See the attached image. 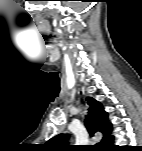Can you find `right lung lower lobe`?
<instances>
[{
  "label": "right lung lower lobe",
  "instance_id": "right-lung-lower-lobe-1",
  "mask_svg": "<svg viewBox=\"0 0 142 151\" xmlns=\"http://www.w3.org/2000/svg\"><path fill=\"white\" fill-rule=\"evenodd\" d=\"M107 148L112 149V150H117V148H114L113 145H109Z\"/></svg>",
  "mask_w": 142,
  "mask_h": 151
}]
</instances>
